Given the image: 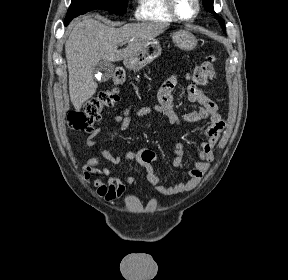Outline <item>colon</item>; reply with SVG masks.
Segmentation results:
<instances>
[{"mask_svg": "<svg viewBox=\"0 0 288 280\" xmlns=\"http://www.w3.org/2000/svg\"><path fill=\"white\" fill-rule=\"evenodd\" d=\"M214 62V57H210L200 65H197L190 75L191 81L195 85H206L213 80L215 78ZM112 80L113 88L102 91L98 96L89 100L82 110L69 112L67 120L73 130L91 132L94 124L100 119L102 110L113 106L118 101L117 86L125 81L123 69L117 68Z\"/></svg>", "mask_w": 288, "mask_h": 280, "instance_id": "5ec220e1", "label": "colon"}]
</instances>
